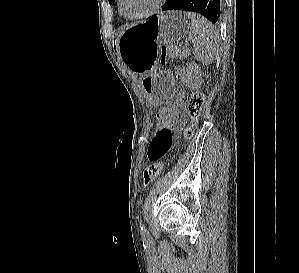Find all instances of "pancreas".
<instances>
[{
    "instance_id": "pancreas-1",
    "label": "pancreas",
    "mask_w": 299,
    "mask_h": 273,
    "mask_svg": "<svg viewBox=\"0 0 299 273\" xmlns=\"http://www.w3.org/2000/svg\"><path fill=\"white\" fill-rule=\"evenodd\" d=\"M180 59L186 58L190 55V50L188 48L180 49L177 53H175Z\"/></svg>"
}]
</instances>
